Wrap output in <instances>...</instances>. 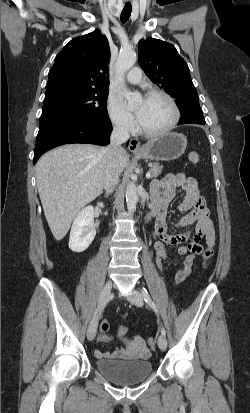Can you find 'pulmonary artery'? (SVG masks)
I'll use <instances>...</instances> for the list:
<instances>
[{
    "label": "pulmonary artery",
    "mask_w": 250,
    "mask_h": 413,
    "mask_svg": "<svg viewBox=\"0 0 250 413\" xmlns=\"http://www.w3.org/2000/svg\"><path fill=\"white\" fill-rule=\"evenodd\" d=\"M142 76L141 69L139 67H133L126 75V80L131 84H137L140 82Z\"/></svg>",
    "instance_id": "e3ab8cb5"
}]
</instances>
